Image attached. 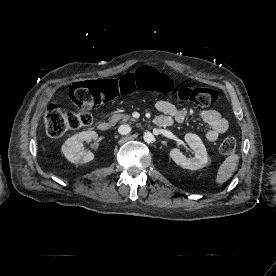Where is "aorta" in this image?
Listing matches in <instances>:
<instances>
[{"label":"aorta","instance_id":"1","mask_svg":"<svg viewBox=\"0 0 276 276\" xmlns=\"http://www.w3.org/2000/svg\"><path fill=\"white\" fill-rule=\"evenodd\" d=\"M143 138L147 143H151L155 140L154 135L151 132H145Z\"/></svg>","mask_w":276,"mask_h":276}]
</instances>
